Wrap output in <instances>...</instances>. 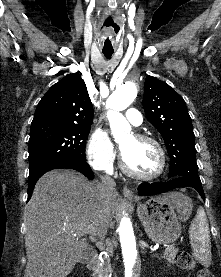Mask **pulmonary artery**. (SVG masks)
<instances>
[{"mask_svg": "<svg viewBox=\"0 0 221 277\" xmlns=\"http://www.w3.org/2000/svg\"><path fill=\"white\" fill-rule=\"evenodd\" d=\"M125 116L127 120L133 125V126H140L142 124V115L141 113L135 109V108H129Z\"/></svg>", "mask_w": 221, "mask_h": 277, "instance_id": "e3ab8cb5", "label": "pulmonary artery"}]
</instances>
